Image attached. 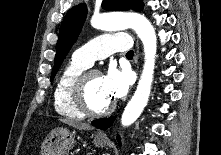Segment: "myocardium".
Returning a JSON list of instances; mask_svg holds the SVG:
<instances>
[{
	"label": "myocardium",
	"instance_id": "1",
	"mask_svg": "<svg viewBox=\"0 0 221 155\" xmlns=\"http://www.w3.org/2000/svg\"><path fill=\"white\" fill-rule=\"evenodd\" d=\"M94 75H101V73L96 69H86L80 73L71 86L70 97L73 105L83 115L90 117H101L111 113L115 108V103L111 102L102 110H94L90 107L86 97V89L90 78Z\"/></svg>",
	"mask_w": 221,
	"mask_h": 155
}]
</instances>
